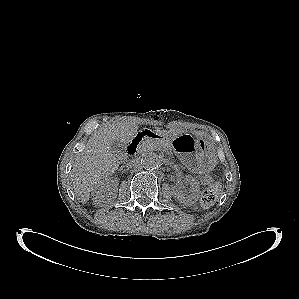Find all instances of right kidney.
<instances>
[{
	"label": "right kidney",
	"instance_id": "1",
	"mask_svg": "<svg viewBox=\"0 0 299 299\" xmlns=\"http://www.w3.org/2000/svg\"><path fill=\"white\" fill-rule=\"evenodd\" d=\"M119 181L117 179L105 178L98 182L91 191V196L96 206H105L116 197Z\"/></svg>",
	"mask_w": 299,
	"mask_h": 299
}]
</instances>
